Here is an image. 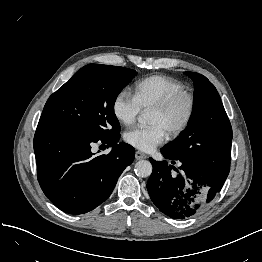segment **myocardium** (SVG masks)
<instances>
[{
    "mask_svg": "<svg viewBox=\"0 0 262 262\" xmlns=\"http://www.w3.org/2000/svg\"><path fill=\"white\" fill-rule=\"evenodd\" d=\"M180 102L186 104V112L183 119L168 131L171 137L182 134L191 124L196 110L194 95L186 90L178 91L165 97L151 108V110H156L158 112H168Z\"/></svg>",
    "mask_w": 262,
    "mask_h": 262,
    "instance_id": "obj_1",
    "label": "myocardium"
}]
</instances>
